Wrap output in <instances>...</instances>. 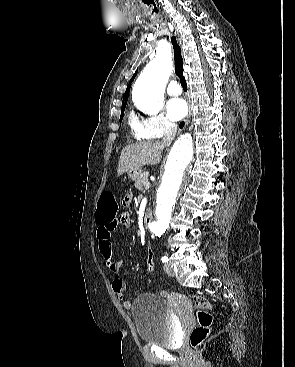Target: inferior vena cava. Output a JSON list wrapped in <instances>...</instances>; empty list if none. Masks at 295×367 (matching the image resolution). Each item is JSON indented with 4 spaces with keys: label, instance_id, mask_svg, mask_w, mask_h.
Masks as SVG:
<instances>
[{
    "label": "inferior vena cava",
    "instance_id": "obj_1",
    "mask_svg": "<svg viewBox=\"0 0 295 367\" xmlns=\"http://www.w3.org/2000/svg\"><path fill=\"white\" fill-rule=\"evenodd\" d=\"M177 132V126L175 124H168L165 128V134L163 137V144L170 145L174 140Z\"/></svg>",
    "mask_w": 295,
    "mask_h": 367
}]
</instances>
